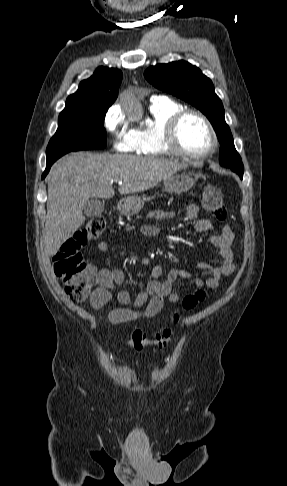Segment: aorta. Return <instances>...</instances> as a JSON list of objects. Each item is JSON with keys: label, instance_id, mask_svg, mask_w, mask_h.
<instances>
[{"label": "aorta", "instance_id": "762f6f07", "mask_svg": "<svg viewBox=\"0 0 287 486\" xmlns=\"http://www.w3.org/2000/svg\"><path fill=\"white\" fill-rule=\"evenodd\" d=\"M124 108L131 118H138L140 111L135 99L128 98Z\"/></svg>", "mask_w": 287, "mask_h": 486}]
</instances>
